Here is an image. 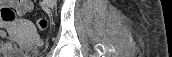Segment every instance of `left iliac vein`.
I'll use <instances>...</instances> for the list:
<instances>
[{
	"instance_id": "4c4485c4",
	"label": "left iliac vein",
	"mask_w": 172,
	"mask_h": 57,
	"mask_svg": "<svg viewBox=\"0 0 172 57\" xmlns=\"http://www.w3.org/2000/svg\"><path fill=\"white\" fill-rule=\"evenodd\" d=\"M48 5L53 8L55 6V1L53 0L48 1Z\"/></svg>"
}]
</instances>
